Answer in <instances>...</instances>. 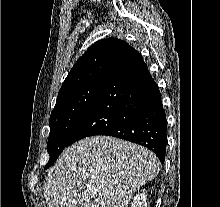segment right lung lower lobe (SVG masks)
<instances>
[{"label":"right lung lower lobe","mask_w":220,"mask_h":207,"mask_svg":"<svg viewBox=\"0 0 220 207\" xmlns=\"http://www.w3.org/2000/svg\"><path fill=\"white\" fill-rule=\"evenodd\" d=\"M166 131L161 95L142 59L106 79L69 145L84 137L108 135L145 146L164 162Z\"/></svg>","instance_id":"obj_1"}]
</instances>
